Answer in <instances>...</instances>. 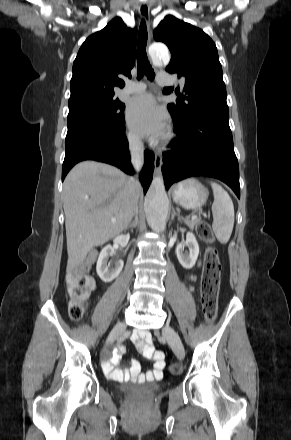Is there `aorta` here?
<instances>
[{
  "label": "aorta",
  "instance_id": "762f6f07",
  "mask_svg": "<svg viewBox=\"0 0 291 440\" xmlns=\"http://www.w3.org/2000/svg\"><path fill=\"white\" fill-rule=\"evenodd\" d=\"M149 55L162 60L164 64L170 61L168 48L163 44H153L149 47ZM145 213L149 226L155 232H162L166 227L169 200L165 191L162 176H156L145 199Z\"/></svg>",
  "mask_w": 291,
  "mask_h": 440
}]
</instances>
